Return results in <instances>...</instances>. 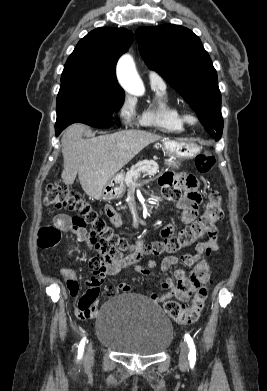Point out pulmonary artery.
Segmentation results:
<instances>
[{"label": "pulmonary artery", "instance_id": "obj_1", "mask_svg": "<svg viewBox=\"0 0 267 391\" xmlns=\"http://www.w3.org/2000/svg\"><path fill=\"white\" fill-rule=\"evenodd\" d=\"M151 86L165 87L163 79L155 72H149L148 74Z\"/></svg>", "mask_w": 267, "mask_h": 391}]
</instances>
